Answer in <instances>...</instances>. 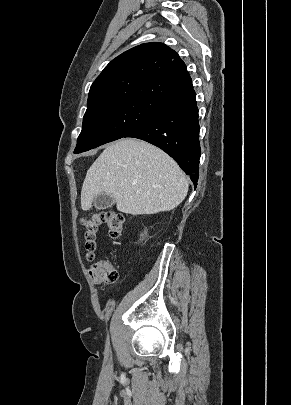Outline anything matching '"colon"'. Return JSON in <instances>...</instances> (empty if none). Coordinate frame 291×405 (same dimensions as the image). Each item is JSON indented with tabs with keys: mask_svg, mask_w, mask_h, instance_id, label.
Instances as JSON below:
<instances>
[{
	"mask_svg": "<svg viewBox=\"0 0 291 405\" xmlns=\"http://www.w3.org/2000/svg\"><path fill=\"white\" fill-rule=\"evenodd\" d=\"M102 225L107 227L110 237L117 238L122 234L124 217L118 211H101L82 220L84 245L90 261L95 257L97 233ZM90 276L99 285L113 284L118 279V273L109 259L95 262L90 268Z\"/></svg>",
	"mask_w": 291,
	"mask_h": 405,
	"instance_id": "1",
	"label": "colon"
}]
</instances>
